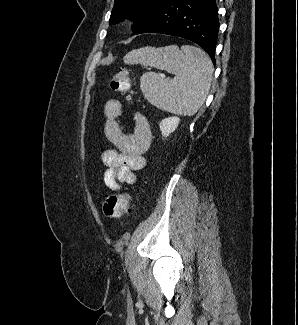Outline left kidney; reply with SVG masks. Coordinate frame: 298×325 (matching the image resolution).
Instances as JSON below:
<instances>
[{
    "label": "left kidney",
    "instance_id": "left-kidney-1",
    "mask_svg": "<svg viewBox=\"0 0 298 325\" xmlns=\"http://www.w3.org/2000/svg\"><path fill=\"white\" fill-rule=\"evenodd\" d=\"M179 122V116H168V118H163L159 124L163 136H169L170 132H174Z\"/></svg>",
    "mask_w": 298,
    "mask_h": 325
}]
</instances>
